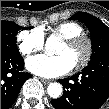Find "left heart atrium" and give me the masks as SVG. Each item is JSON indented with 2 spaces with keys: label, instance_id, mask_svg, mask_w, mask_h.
Returning a JSON list of instances; mask_svg holds the SVG:
<instances>
[{
  "label": "left heart atrium",
  "instance_id": "obj_1",
  "mask_svg": "<svg viewBox=\"0 0 109 109\" xmlns=\"http://www.w3.org/2000/svg\"><path fill=\"white\" fill-rule=\"evenodd\" d=\"M27 69L44 78H56L69 73L74 65L66 55L40 54L26 61Z\"/></svg>",
  "mask_w": 109,
  "mask_h": 109
}]
</instances>
